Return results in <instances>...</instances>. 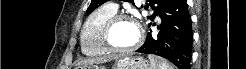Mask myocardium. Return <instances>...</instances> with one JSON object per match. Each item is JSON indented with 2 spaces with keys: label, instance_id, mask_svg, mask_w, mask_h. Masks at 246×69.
Instances as JSON below:
<instances>
[{
  "label": "myocardium",
  "instance_id": "myocardium-1",
  "mask_svg": "<svg viewBox=\"0 0 246 69\" xmlns=\"http://www.w3.org/2000/svg\"><path fill=\"white\" fill-rule=\"evenodd\" d=\"M122 20H128L135 24L137 31H138V37L136 42L131 45L128 48H117L112 45L110 41V37L112 34V31L115 27V25L122 21ZM102 39L105 47L112 53L122 54L126 52H131L136 50L141 46L144 40V31L141 23L133 16L126 14V13H116L115 15L111 16L105 23L103 32H102Z\"/></svg>",
  "mask_w": 246,
  "mask_h": 69
}]
</instances>
